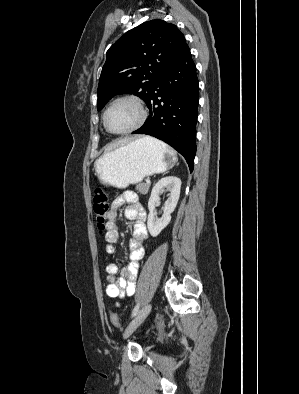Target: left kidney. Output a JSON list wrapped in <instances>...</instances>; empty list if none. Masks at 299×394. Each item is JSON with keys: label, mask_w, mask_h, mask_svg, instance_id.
I'll list each match as a JSON object with an SVG mask.
<instances>
[{"label": "left kidney", "mask_w": 299, "mask_h": 394, "mask_svg": "<svg viewBox=\"0 0 299 394\" xmlns=\"http://www.w3.org/2000/svg\"><path fill=\"white\" fill-rule=\"evenodd\" d=\"M166 189L170 191L169 198L165 201L163 215L157 218L154 213L155 203L160 200V193ZM181 189V180L175 176L164 177L159 180L152 189L151 196L148 201V230L152 237H156L170 223L171 213L175 210Z\"/></svg>", "instance_id": "left-kidney-1"}]
</instances>
